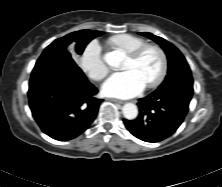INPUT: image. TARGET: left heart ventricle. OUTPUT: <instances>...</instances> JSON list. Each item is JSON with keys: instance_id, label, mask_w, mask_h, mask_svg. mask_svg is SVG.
I'll return each instance as SVG.
<instances>
[{"instance_id": "b2bd125f", "label": "left heart ventricle", "mask_w": 222, "mask_h": 187, "mask_svg": "<svg viewBox=\"0 0 222 187\" xmlns=\"http://www.w3.org/2000/svg\"><path fill=\"white\" fill-rule=\"evenodd\" d=\"M161 59L154 49L146 50L138 61L126 58L123 69L133 70L146 85L151 82L159 73Z\"/></svg>"}]
</instances>
